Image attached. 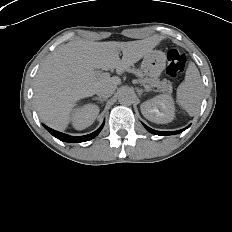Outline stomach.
<instances>
[{
    "mask_svg": "<svg viewBox=\"0 0 232 232\" xmlns=\"http://www.w3.org/2000/svg\"><path fill=\"white\" fill-rule=\"evenodd\" d=\"M166 58L161 51H150L145 55L142 62V70L144 75H151L165 68Z\"/></svg>",
    "mask_w": 232,
    "mask_h": 232,
    "instance_id": "1",
    "label": "stomach"
}]
</instances>
